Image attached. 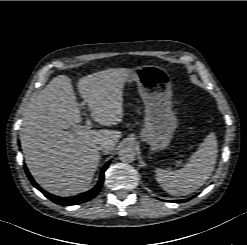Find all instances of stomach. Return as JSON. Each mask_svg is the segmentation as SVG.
<instances>
[{
	"mask_svg": "<svg viewBox=\"0 0 247 245\" xmlns=\"http://www.w3.org/2000/svg\"><path fill=\"white\" fill-rule=\"evenodd\" d=\"M127 83L136 82L145 106L144 127L140 137L153 151L169 146L177 128L172 111V85L167 71L155 65L129 69Z\"/></svg>",
	"mask_w": 247,
	"mask_h": 245,
	"instance_id": "stomach-1",
	"label": "stomach"
}]
</instances>
